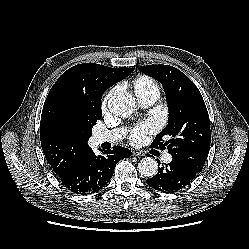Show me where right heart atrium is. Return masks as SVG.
Wrapping results in <instances>:
<instances>
[{
	"mask_svg": "<svg viewBox=\"0 0 249 249\" xmlns=\"http://www.w3.org/2000/svg\"><path fill=\"white\" fill-rule=\"evenodd\" d=\"M114 93H115V89H111L102 98V101H101V111L103 113L107 111L108 102H109L110 98L113 96Z\"/></svg>",
	"mask_w": 249,
	"mask_h": 249,
	"instance_id": "d8ad5b80",
	"label": "right heart atrium"
}]
</instances>
